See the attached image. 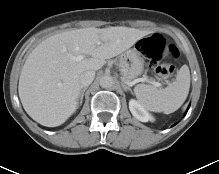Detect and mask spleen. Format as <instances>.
<instances>
[{"label":"spleen","mask_w":219,"mask_h":174,"mask_svg":"<svg viewBox=\"0 0 219 174\" xmlns=\"http://www.w3.org/2000/svg\"><path fill=\"white\" fill-rule=\"evenodd\" d=\"M190 88V72L183 65L177 72L175 81L168 87L156 88L150 84H138L134 93L138 101L148 110L170 114L181 107Z\"/></svg>","instance_id":"spleen-1"}]
</instances>
